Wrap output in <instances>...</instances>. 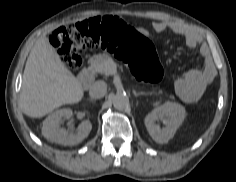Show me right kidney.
Returning a JSON list of instances; mask_svg holds the SVG:
<instances>
[{
	"mask_svg": "<svg viewBox=\"0 0 236 182\" xmlns=\"http://www.w3.org/2000/svg\"><path fill=\"white\" fill-rule=\"evenodd\" d=\"M73 112L69 108L59 109L50 114L43 122L42 135L49 141L64 146H73L82 142L88 137L92 124L89 120L81 122L76 133H69L65 128L60 127L62 118L70 119Z\"/></svg>",
	"mask_w": 236,
	"mask_h": 182,
	"instance_id": "ca27d5eb",
	"label": "right kidney"
}]
</instances>
